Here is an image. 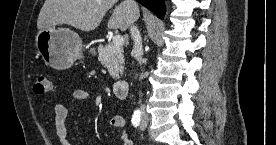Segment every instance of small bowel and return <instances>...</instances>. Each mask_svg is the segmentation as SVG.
<instances>
[{"instance_id": "1", "label": "small bowel", "mask_w": 276, "mask_h": 145, "mask_svg": "<svg viewBox=\"0 0 276 145\" xmlns=\"http://www.w3.org/2000/svg\"><path fill=\"white\" fill-rule=\"evenodd\" d=\"M73 97L78 102H85L89 100L90 94L86 90L77 89L73 92ZM55 115V130L59 145H81V143L70 136L66 125L68 111L64 104L57 103L54 107ZM110 125L115 129L122 141V145H132V141L129 139L125 132V121L122 116H113L110 120Z\"/></svg>"}]
</instances>
